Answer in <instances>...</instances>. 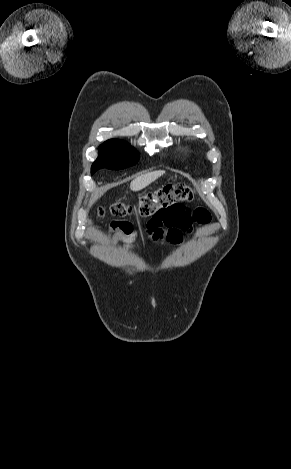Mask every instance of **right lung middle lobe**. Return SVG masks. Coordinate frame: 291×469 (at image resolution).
<instances>
[{"label": "right lung middle lobe", "mask_w": 291, "mask_h": 469, "mask_svg": "<svg viewBox=\"0 0 291 469\" xmlns=\"http://www.w3.org/2000/svg\"><path fill=\"white\" fill-rule=\"evenodd\" d=\"M139 155L127 142L111 139L98 148V158L91 167L93 175L98 169L119 170L137 163Z\"/></svg>", "instance_id": "obj_1"}]
</instances>
